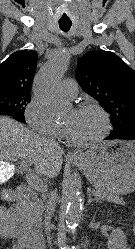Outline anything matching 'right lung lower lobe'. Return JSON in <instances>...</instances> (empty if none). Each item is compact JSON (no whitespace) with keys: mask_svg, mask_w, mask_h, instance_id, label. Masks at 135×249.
Instances as JSON below:
<instances>
[{"mask_svg":"<svg viewBox=\"0 0 135 249\" xmlns=\"http://www.w3.org/2000/svg\"><path fill=\"white\" fill-rule=\"evenodd\" d=\"M0 115H8V116H12L13 118H15L16 120L20 121L21 123H25V120L24 119H21L19 117H16L12 114H9V113H6V112H0Z\"/></svg>","mask_w":135,"mask_h":249,"instance_id":"right-lung-lower-lobe-1","label":"right lung lower lobe"}]
</instances>
